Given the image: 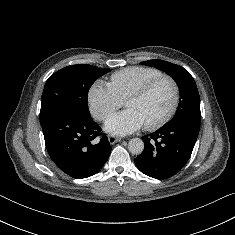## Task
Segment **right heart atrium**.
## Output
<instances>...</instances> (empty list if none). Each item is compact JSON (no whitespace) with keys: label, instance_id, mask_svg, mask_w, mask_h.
Instances as JSON below:
<instances>
[{"label":"right heart atrium","instance_id":"obj_1","mask_svg":"<svg viewBox=\"0 0 235 235\" xmlns=\"http://www.w3.org/2000/svg\"><path fill=\"white\" fill-rule=\"evenodd\" d=\"M88 105L94 118L103 121L118 110L123 101L108 83L97 81L89 89Z\"/></svg>","mask_w":235,"mask_h":235}]
</instances>
